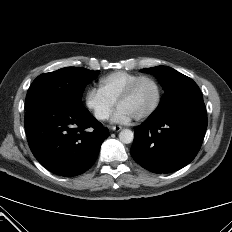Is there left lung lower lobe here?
Here are the masks:
<instances>
[{"mask_svg":"<svg viewBox=\"0 0 232 232\" xmlns=\"http://www.w3.org/2000/svg\"><path fill=\"white\" fill-rule=\"evenodd\" d=\"M206 128V108L200 93L137 126L130 153L143 168L159 174L170 173L195 158Z\"/></svg>","mask_w":232,"mask_h":232,"instance_id":"left-lung-lower-lobe-1","label":"left lung lower lobe"}]
</instances>
